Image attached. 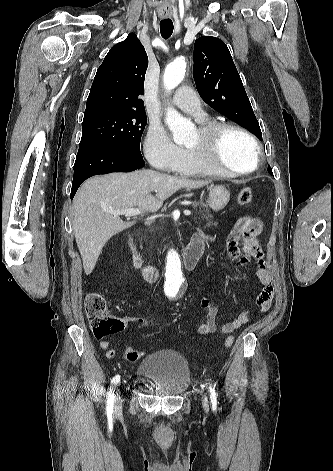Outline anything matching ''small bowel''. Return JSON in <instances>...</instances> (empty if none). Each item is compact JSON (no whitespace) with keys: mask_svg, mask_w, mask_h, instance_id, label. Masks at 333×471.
<instances>
[{"mask_svg":"<svg viewBox=\"0 0 333 471\" xmlns=\"http://www.w3.org/2000/svg\"><path fill=\"white\" fill-rule=\"evenodd\" d=\"M261 231L262 222L259 219L251 217L240 218L227 236L226 249L228 256L237 266L247 265L251 260L256 261L255 273L262 284V289L256 296L255 302L259 307V312L263 313L271 307L274 297V284L264 262L263 250L258 240ZM193 238H201L203 240V236L200 234L195 235ZM201 306L205 311L204 318L198 324V332L201 335L213 334L216 331H219L222 335H229L248 323L251 318L250 312L244 311L233 321L218 326L216 322L217 307L212 305L207 298L201 301ZM129 320L138 322L141 325L148 324L147 320L140 317H132ZM100 347L105 350L107 358L115 356V351L110 348L108 341H101Z\"/></svg>","mask_w":333,"mask_h":471,"instance_id":"small-bowel-1","label":"small bowel"}]
</instances>
